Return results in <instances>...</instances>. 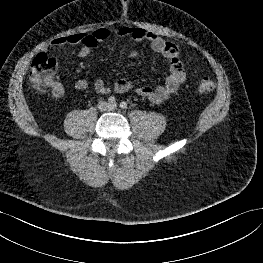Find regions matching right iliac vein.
Returning <instances> with one entry per match:
<instances>
[{"mask_svg":"<svg viewBox=\"0 0 263 263\" xmlns=\"http://www.w3.org/2000/svg\"><path fill=\"white\" fill-rule=\"evenodd\" d=\"M109 107H110V105L107 102L103 101V102L99 103V108L101 110H107V109H109Z\"/></svg>","mask_w":263,"mask_h":263,"instance_id":"63e3f726","label":"right iliac vein"}]
</instances>
